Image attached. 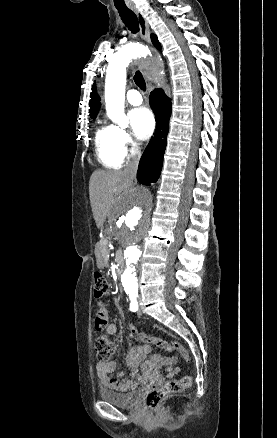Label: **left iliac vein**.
<instances>
[{"label": "left iliac vein", "mask_w": 277, "mask_h": 438, "mask_svg": "<svg viewBox=\"0 0 277 438\" xmlns=\"http://www.w3.org/2000/svg\"><path fill=\"white\" fill-rule=\"evenodd\" d=\"M137 313H138V315H142V310H141V308H140V307L138 308V311H137Z\"/></svg>", "instance_id": "left-iliac-vein-1"}]
</instances>
